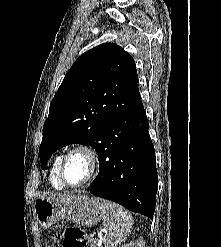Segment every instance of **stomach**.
Segmentation results:
<instances>
[{
	"instance_id": "obj_1",
	"label": "stomach",
	"mask_w": 221,
	"mask_h": 247,
	"mask_svg": "<svg viewBox=\"0 0 221 247\" xmlns=\"http://www.w3.org/2000/svg\"><path fill=\"white\" fill-rule=\"evenodd\" d=\"M105 200L86 195L41 197L35 201L34 212L42 228H50L61 221H72L82 226L97 224L102 216Z\"/></svg>"
}]
</instances>
